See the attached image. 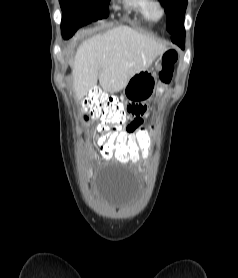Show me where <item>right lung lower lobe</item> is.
<instances>
[{
  "label": "right lung lower lobe",
  "instance_id": "right-lung-lower-lobe-1",
  "mask_svg": "<svg viewBox=\"0 0 238 278\" xmlns=\"http://www.w3.org/2000/svg\"><path fill=\"white\" fill-rule=\"evenodd\" d=\"M82 23L81 14L73 9L63 11L62 15V34L64 38L70 37Z\"/></svg>",
  "mask_w": 238,
  "mask_h": 278
}]
</instances>
